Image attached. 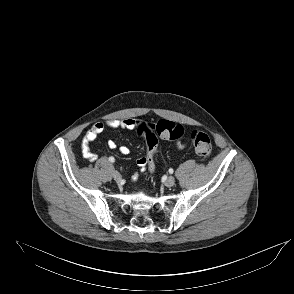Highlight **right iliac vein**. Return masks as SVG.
Segmentation results:
<instances>
[{"label": "right iliac vein", "instance_id": "obj_1", "mask_svg": "<svg viewBox=\"0 0 294 294\" xmlns=\"http://www.w3.org/2000/svg\"><path fill=\"white\" fill-rule=\"evenodd\" d=\"M113 178H114V180H115L117 183H119V182L122 180V176H121V174H120L119 172H117V171H115V172L113 173Z\"/></svg>", "mask_w": 294, "mask_h": 294}]
</instances>
